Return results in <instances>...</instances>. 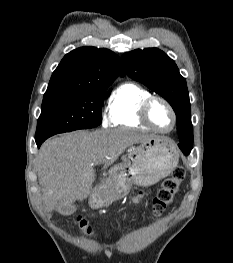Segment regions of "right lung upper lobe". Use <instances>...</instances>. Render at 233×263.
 Returning <instances> with one entry per match:
<instances>
[{"label": "right lung upper lobe", "mask_w": 233, "mask_h": 263, "mask_svg": "<svg viewBox=\"0 0 233 263\" xmlns=\"http://www.w3.org/2000/svg\"><path fill=\"white\" fill-rule=\"evenodd\" d=\"M124 76L120 58L111 50L82 47L66 54L50 79L44 95L108 88Z\"/></svg>", "instance_id": "1"}]
</instances>
